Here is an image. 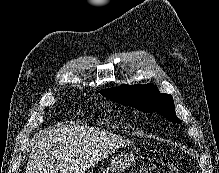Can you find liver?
Instances as JSON below:
<instances>
[{"instance_id": "6515ba94", "label": "liver", "mask_w": 219, "mask_h": 173, "mask_svg": "<svg viewBox=\"0 0 219 173\" xmlns=\"http://www.w3.org/2000/svg\"><path fill=\"white\" fill-rule=\"evenodd\" d=\"M130 144L97 128L58 124L45 129L29 155L25 173H84L95 163Z\"/></svg>"}]
</instances>
